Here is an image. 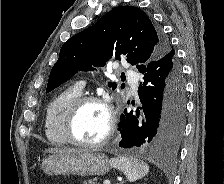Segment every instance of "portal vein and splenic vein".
Returning <instances> with one entry per match:
<instances>
[{"label":"portal vein and splenic vein","mask_w":224,"mask_h":184,"mask_svg":"<svg viewBox=\"0 0 224 184\" xmlns=\"http://www.w3.org/2000/svg\"><path fill=\"white\" fill-rule=\"evenodd\" d=\"M103 184H110V181H109V180H105V181L103 182Z\"/></svg>","instance_id":"portal-vein-and-splenic-vein-1"}]
</instances>
